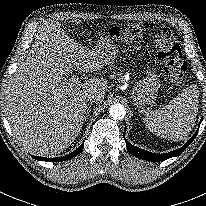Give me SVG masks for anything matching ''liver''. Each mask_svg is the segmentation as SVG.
<instances>
[{"label": "liver", "mask_w": 206, "mask_h": 206, "mask_svg": "<svg viewBox=\"0 0 206 206\" xmlns=\"http://www.w3.org/2000/svg\"><path fill=\"white\" fill-rule=\"evenodd\" d=\"M110 64L104 51L74 41L55 21L45 22L25 60L10 78L5 112L17 141L35 155H56L78 136L87 112L86 97H105L107 80L67 84L74 69L96 73Z\"/></svg>", "instance_id": "6515ba94"}]
</instances>
